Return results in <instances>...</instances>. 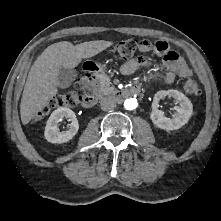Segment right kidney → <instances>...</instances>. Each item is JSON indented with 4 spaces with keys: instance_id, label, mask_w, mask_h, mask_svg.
I'll list each match as a JSON object with an SVG mask.
<instances>
[{
    "instance_id": "ca27d5eb",
    "label": "right kidney",
    "mask_w": 221,
    "mask_h": 221,
    "mask_svg": "<svg viewBox=\"0 0 221 221\" xmlns=\"http://www.w3.org/2000/svg\"><path fill=\"white\" fill-rule=\"evenodd\" d=\"M64 117L72 122L67 130L59 131L58 123L62 121ZM78 129L79 124L75 113L69 108L60 107L53 111L51 116L49 117L46 123L44 136L48 142L65 143L71 140L77 134Z\"/></svg>"
}]
</instances>
